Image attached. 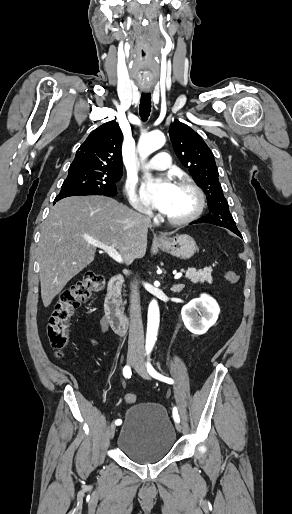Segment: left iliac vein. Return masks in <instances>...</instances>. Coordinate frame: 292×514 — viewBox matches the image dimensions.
<instances>
[{"instance_id":"1","label":"left iliac vein","mask_w":292,"mask_h":514,"mask_svg":"<svg viewBox=\"0 0 292 514\" xmlns=\"http://www.w3.org/2000/svg\"><path fill=\"white\" fill-rule=\"evenodd\" d=\"M136 372L144 379H149V374L146 369V365L144 363V360L140 358L137 362V364L134 366ZM176 430L178 432L182 431V426L179 424V422H176Z\"/></svg>"}]
</instances>
